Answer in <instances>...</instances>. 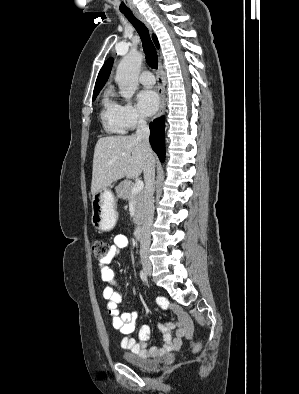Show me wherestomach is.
I'll list each match as a JSON object with an SVG mask.
<instances>
[{
    "label": "stomach",
    "mask_w": 299,
    "mask_h": 394,
    "mask_svg": "<svg viewBox=\"0 0 299 394\" xmlns=\"http://www.w3.org/2000/svg\"><path fill=\"white\" fill-rule=\"evenodd\" d=\"M115 209V197L111 190L104 189L92 196V218L93 226L101 231H109L117 222Z\"/></svg>",
    "instance_id": "obj_1"
}]
</instances>
